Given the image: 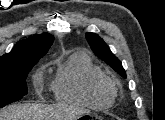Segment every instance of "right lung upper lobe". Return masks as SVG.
<instances>
[{
	"label": "right lung upper lobe",
	"instance_id": "1",
	"mask_svg": "<svg viewBox=\"0 0 165 120\" xmlns=\"http://www.w3.org/2000/svg\"><path fill=\"white\" fill-rule=\"evenodd\" d=\"M53 41L54 37L48 33H42L21 40L10 53L0 57V64L40 59L48 52Z\"/></svg>",
	"mask_w": 165,
	"mask_h": 120
}]
</instances>
